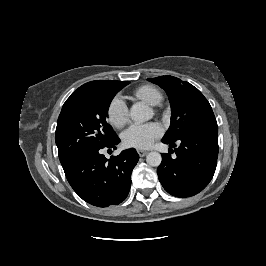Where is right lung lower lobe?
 <instances>
[{
	"instance_id": "right-lung-lower-lobe-1",
	"label": "right lung lower lobe",
	"mask_w": 266,
	"mask_h": 266,
	"mask_svg": "<svg viewBox=\"0 0 266 266\" xmlns=\"http://www.w3.org/2000/svg\"><path fill=\"white\" fill-rule=\"evenodd\" d=\"M119 142L116 137L106 146L82 154L63 166L71 187L89 204L98 207L117 205L129 193L131 173L139 159L136 150H124L109 160L101 154V149H116Z\"/></svg>"
}]
</instances>
